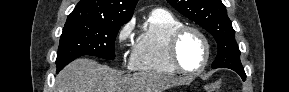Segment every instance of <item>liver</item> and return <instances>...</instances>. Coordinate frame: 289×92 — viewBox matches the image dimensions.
<instances>
[{"mask_svg":"<svg viewBox=\"0 0 289 92\" xmlns=\"http://www.w3.org/2000/svg\"><path fill=\"white\" fill-rule=\"evenodd\" d=\"M185 80L156 73L121 76L108 66L80 58L56 77V92H163Z\"/></svg>","mask_w":289,"mask_h":92,"instance_id":"6515ba94","label":"liver"}]
</instances>
